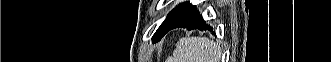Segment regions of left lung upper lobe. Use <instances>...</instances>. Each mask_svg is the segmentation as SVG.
<instances>
[{"instance_id": "obj_1", "label": "left lung upper lobe", "mask_w": 331, "mask_h": 62, "mask_svg": "<svg viewBox=\"0 0 331 62\" xmlns=\"http://www.w3.org/2000/svg\"><path fill=\"white\" fill-rule=\"evenodd\" d=\"M185 3L183 4H180L177 8H175L173 11H171L166 19L164 20V22L160 25V27L158 28V30L156 31V33L154 34L156 36V39H160L162 36H163V32H164V27L166 25V23L169 21V19L184 5ZM153 39H154V36H153Z\"/></svg>"}]
</instances>
